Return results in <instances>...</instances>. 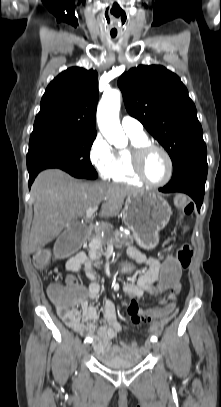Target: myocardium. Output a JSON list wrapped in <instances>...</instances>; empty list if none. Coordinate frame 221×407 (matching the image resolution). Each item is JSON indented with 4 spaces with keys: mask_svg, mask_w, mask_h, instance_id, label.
Instances as JSON below:
<instances>
[{
    "mask_svg": "<svg viewBox=\"0 0 221 407\" xmlns=\"http://www.w3.org/2000/svg\"><path fill=\"white\" fill-rule=\"evenodd\" d=\"M160 151L161 153L164 154V156L167 158L168 164H169V171L167 177L160 182H153L151 181L144 170V163L146 160V157L148 156L149 153L152 151ZM130 155H131V167L132 171L135 174V176L144 184L152 187H162L166 184H168L174 174V161L167 149H165L163 146L155 144V143H146V144H141L137 146H133L130 150Z\"/></svg>",
    "mask_w": 221,
    "mask_h": 407,
    "instance_id": "f54148a6",
    "label": "myocardium"
}]
</instances>
